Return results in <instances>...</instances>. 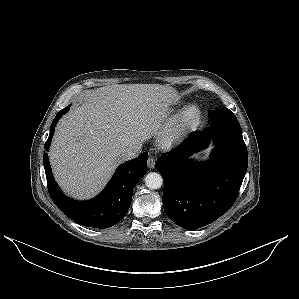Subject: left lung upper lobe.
Segmentation results:
<instances>
[{
	"label": "left lung upper lobe",
	"instance_id": "left-lung-upper-lobe-1",
	"mask_svg": "<svg viewBox=\"0 0 299 299\" xmlns=\"http://www.w3.org/2000/svg\"><path fill=\"white\" fill-rule=\"evenodd\" d=\"M226 110H229V109H227V108H226V109L221 108V109H216V110H214V111H210V112H209V120H211V119L214 118L215 116H217V115H219V114L225 112Z\"/></svg>",
	"mask_w": 299,
	"mask_h": 299
}]
</instances>
